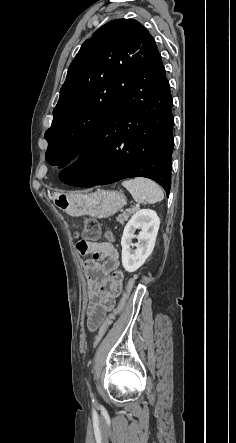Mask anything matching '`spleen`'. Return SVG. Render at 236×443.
I'll return each mask as SVG.
<instances>
[{
    "instance_id": "obj_1",
    "label": "spleen",
    "mask_w": 236,
    "mask_h": 443,
    "mask_svg": "<svg viewBox=\"0 0 236 443\" xmlns=\"http://www.w3.org/2000/svg\"><path fill=\"white\" fill-rule=\"evenodd\" d=\"M122 185L130 192L137 203L147 202L154 204L164 199L162 189L150 179L136 177L123 181Z\"/></svg>"
}]
</instances>
